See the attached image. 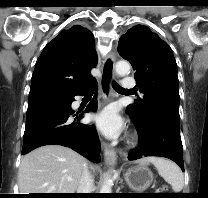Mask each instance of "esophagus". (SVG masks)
Here are the masks:
<instances>
[{
  "label": "esophagus",
  "instance_id": "esophagus-1",
  "mask_svg": "<svg viewBox=\"0 0 208 198\" xmlns=\"http://www.w3.org/2000/svg\"><path fill=\"white\" fill-rule=\"evenodd\" d=\"M115 66V55L109 54L101 68V78L99 86L101 92L105 98L110 96L111 93V82L115 76L114 72ZM104 159L107 164H115L117 156L113 148H110L107 144H104Z\"/></svg>",
  "mask_w": 208,
  "mask_h": 198
}]
</instances>
